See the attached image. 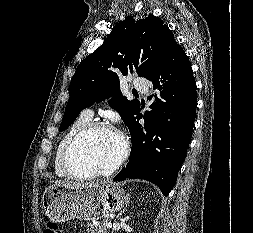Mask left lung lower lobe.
I'll list each match as a JSON object with an SVG mask.
<instances>
[{"label": "left lung lower lobe", "mask_w": 253, "mask_h": 233, "mask_svg": "<svg viewBox=\"0 0 253 233\" xmlns=\"http://www.w3.org/2000/svg\"><path fill=\"white\" fill-rule=\"evenodd\" d=\"M148 80L154 85L151 111L144 116L140 106L136 111L129 127V162L113 180L146 179L168 196L191 142L197 107L196 82L183 48L176 44L160 71Z\"/></svg>", "instance_id": "1"}]
</instances>
